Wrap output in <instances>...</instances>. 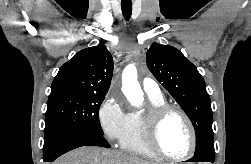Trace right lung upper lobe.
<instances>
[{"label":"right lung upper lobe","instance_id":"right-lung-upper-lobe-1","mask_svg":"<svg viewBox=\"0 0 251 164\" xmlns=\"http://www.w3.org/2000/svg\"><path fill=\"white\" fill-rule=\"evenodd\" d=\"M112 73L113 59L105 45L86 48L59 69L51 93L71 91L106 95Z\"/></svg>","mask_w":251,"mask_h":164}]
</instances>
